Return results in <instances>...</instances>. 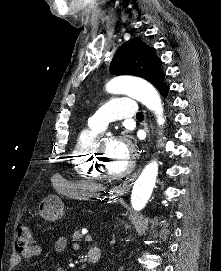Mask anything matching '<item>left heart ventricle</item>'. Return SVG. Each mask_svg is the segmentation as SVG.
Here are the masks:
<instances>
[{
    "label": "left heart ventricle",
    "instance_id": "1",
    "mask_svg": "<svg viewBox=\"0 0 221 271\" xmlns=\"http://www.w3.org/2000/svg\"><path fill=\"white\" fill-rule=\"evenodd\" d=\"M109 175H124L125 171L123 165L125 161L123 156H108V160H104Z\"/></svg>",
    "mask_w": 221,
    "mask_h": 271
}]
</instances>
